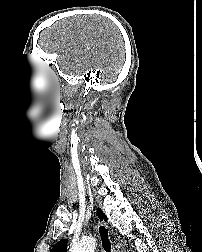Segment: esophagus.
Instances as JSON below:
<instances>
[{
  "instance_id": "34e87169",
  "label": "esophagus",
  "mask_w": 202,
  "mask_h": 252,
  "mask_svg": "<svg viewBox=\"0 0 202 252\" xmlns=\"http://www.w3.org/2000/svg\"><path fill=\"white\" fill-rule=\"evenodd\" d=\"M96 230L100 239L102 252H116L110 237L108 226L105 223L98 221L96 224Z\"/></svg>"
}]
</instances>
